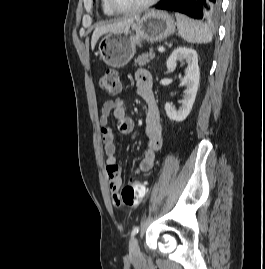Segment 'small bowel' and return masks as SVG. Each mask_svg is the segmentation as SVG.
I'll return each instance as SVG.
<instances>
[{
    "instance_id": "small-bowel-1",
    "label": "small bowel",
    "mask_w": 265,
    "mask_h": 269,
    "mask_svg": "<svg viewBox=\"0 0 265 269\" xmlns=\"http://www.w3.org/2000/svg\"><path fill=\"white\" fill-rule=\"evenodd\" d=\"M135 76L137 81V94L144 100L147 107L144 124L146 143L142 152V159L136 170L138 173H143L152 168L156 152L159 151L163 145L164 126L155 100L153 81L150 73L141 68L136 71ZM125 104L126 102L123 98L105 101L99 116V124L106 153V176L113 202L118 206V191L122 184V178L121 169L116 163V138L113 129L109 126V119L110 115L113 114L118 122L119 132L124 135L131 133L134 124L126 115Z\"/></svg>"
}]
</instances>
